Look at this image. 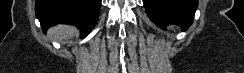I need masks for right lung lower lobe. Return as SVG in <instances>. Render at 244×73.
Returning <instances> with one entry per match:
<instances>
[{
	"instance_id": "obj_1",
	"label": "right lung lower lobe",
	"mask_w": 244,
	"mask_h": 73,
	"mask_svg": "<svg viewBox=\"0 0 244 73\" xmlns=\"http://www.w3.org/2000/svg\"><path fill=\"white\" fill-rule=\"evenodd\" d=\"M101 0H36L35 12L45 32L55 24L77 26L88 35L97 23Z\"/></svg>"
}]
</instances>
